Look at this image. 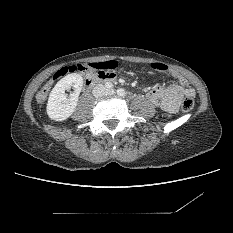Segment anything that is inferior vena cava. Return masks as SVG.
<instances>
[{
    "mask_svg": "<svg viewBox=\"0 0 233 233\" xmlns=\"http://www.w3.org/2000/svg\"><path fill=\"white\" fill-rule=\"evenodd\" d=\"M104 88V86L102 84H97L94 89H93V94L94 96L98 97L100 96V91Z\"/></svg>",
    "mask_w": 233,
    "mask_h": 233,
    "instance_id": "obj_1",
    "label": "inferior vena cava"
}]
</instances>
